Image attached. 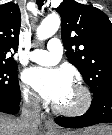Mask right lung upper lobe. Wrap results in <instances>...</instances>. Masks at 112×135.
Listing matches in <instances>:
<instances>
[{
    "instance_id": "cb5924a9",
    "label": "right lung upper lobe",
    "mask_w": 112,
    "mask_h": 135,
    "mask_svg": "<svg viewBox=\"0 0 112 135\" xmlns=\"http://www.w3.org/2000/svg\"><path fill=\"white\" fill-rule=\"evenodd\" d=\"M21 14L17 4L0 5V62L14 61L10 52L18 49Z\"/></svg>"
}]
</instances>
